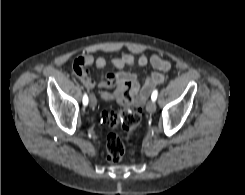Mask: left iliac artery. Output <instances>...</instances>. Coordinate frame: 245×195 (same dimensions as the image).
Instances as JSON below:
<instances>
[{"instance_id": "left-iliac-artery-1", "label": "left iliac artery", "mask_w": 245, "mask_h": 195, "mask_svg": "<svg viewBox=\"0 0 245 195\" xmlns=\"http://www.w3.org/2000/svg\"><path fill=\"white\" fill-rule=\"evenodd\" d=\"M157 96H158V91L157 90H154L152 95H151V99L152 101H155L157 99Z\"/></svg>"}]
</instances>
